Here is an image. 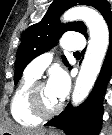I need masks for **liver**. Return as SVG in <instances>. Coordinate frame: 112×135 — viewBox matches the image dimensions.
Returning <instances> with one entry per match:
<instances>
[{
    "label": "liver",
    "instance_id": "1",
    "mask_svg": "<svg viewBox=\"0 0 112 135\" xmlns=\"http://www.w3.org/2000/svg\"><path fill=\"white\" fill-rule=\"evenodd\" d=\"M5 131H8L12 135H45L46 132V130L43 128L37 130H26L10 123L6 125L4 131H0V134Z\"/></svg>",
    "mask_w": 112,
    "mask_h": 135
}]
</instances>
